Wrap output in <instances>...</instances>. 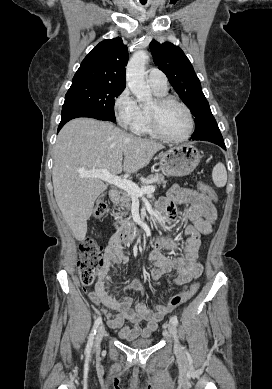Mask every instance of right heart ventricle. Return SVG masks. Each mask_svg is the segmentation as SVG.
Returning <instances> with one entry per match:
<instances>
[{
	"instance_id": "e07e8e85",
	"label": "right heart ventricle",
	"mask_w": 272,
	"mask_h": 389,
	"mask_svg": "<svg viewBox=\"0 0 272 389\" xmlns=\"http://www.w3.org/2000/svg\"><path fill=\"white\" fill-rule=\"evenodd\" d=\"M153 92L159 96L163 97L166 95V92H159L153 90ZM132 131L138 135H147L150 137H155L156 135L153 133L150 118H149V110L146 108H141V115L138 121L133 125Z\"/></svg>"
}]
</instances>
